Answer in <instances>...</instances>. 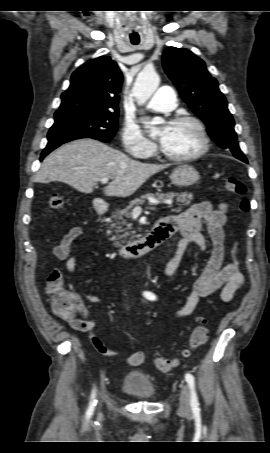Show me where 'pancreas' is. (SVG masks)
<instances>
[{
	"mask_svg": "<svg viewBox=\"0 0 270 453\" xmlns=\"http://www.w3.org/2000/svg\"><path fill=\"white\" fill-rule=\"evenodd\" d=\"M148 197H157L160 200H171L173 201L174 199L176 200L178 204V210L180 211L182 209V206L189 205L191 203V200L193 199L192 194H189L187 192H182V193H166V194H145L142 195L140 198H135L130 202V204L124 208V209H117L115 213L112 215V221L110 224V228L114 229L116 233H122L121 235H116L113 236L112 240L117 241L119 239L124 238V242L126 241L127 238L133 239L134 236V231H130L131 225L127 222V219L131 217V209L136 206V205H142L145 202V199ZM126 218V219H125ZM108 234H111V231L107 232Z\"/></svg>",
	"mask_w": 270,
	"mask_h": 453,
	"instance_id": "1",
	"label": "pancreas"
}]
</instances>
